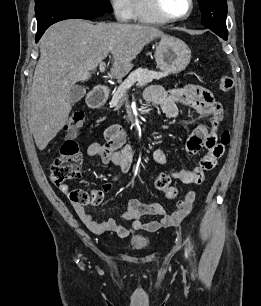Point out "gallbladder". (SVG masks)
Masks as SVG:
<instances>
[{
	"mask_svg": "<svg viewBox=\"0 0 261 306\" xmlns=\"http://www.w3.org/2000/svg\"><path fill=\"white\" fill-rule=\"evenodd\" d=\"M86 94V89L82 86H74L71 89L70 93V101L72 104L81 100Z\"/></svg>",
	"mask_w": 261,
	"mask_h": 306,
	"instance_id": "gallbladder-1",
	"label": "gallbladder"
}]
</instances>
